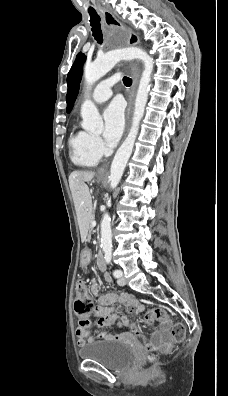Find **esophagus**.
Segmentation results:
<instances>
[{
  "mask_svg": "<svg viewBox=\"0 0 228 396\" xmlns=\"http://www.w3.org/2000/svg\"><path fill=\"white\" fill-rule=\"evenodd\" d=\"M99 14L102 17V20L104 22V26H103V31L105 34L108 33V29L117 22L116 17L113 15V13L106 9V8H100L99 9ZM132 41V45H137L139 43V38L137 36H132L131 38ZM139 76H140V70L139 67L136 63L132 64V79H133V84L131 87V90L129 92V96H128V108H127V125H126V131L129 128L130 125V121H131V115H132V111H133V105H134V98H135V94H136V89L138 86V81H139ZM107 168L108 166L105 165L103 167H101L98 170L99 174H104L107 172Z\"/></svg>",
  "mask_w": 228,
  "mask_h": 396,
  "instance_id": "34e87169",
  "label": "esophagus"
}]
</instances>
